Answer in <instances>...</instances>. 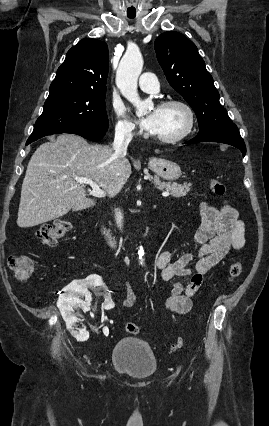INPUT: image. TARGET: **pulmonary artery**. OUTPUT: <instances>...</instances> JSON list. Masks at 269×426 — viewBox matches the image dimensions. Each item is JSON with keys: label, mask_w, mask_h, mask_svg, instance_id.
I'll use <instances>...</instances> for the list:
<instances>
[{"label": "pulmonary artery", "mask_w": 269, "mask_h": 426, "mask_svg": "<svg viewBox=\"0 0 269 426\" xmlns=\"http://www.w3.org/2000/svg\"><path fill=\"white\" fill-rule=\"evenodd\" d=\"M138 85L141 90L149 93H155L159 90L158 79L151 72H144L138 80Z\"/></svg>", "instance_id": "obj_1"}]
</instances>
